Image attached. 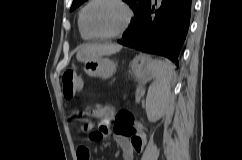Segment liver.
I'll return each instance as SVG.
<instances>
[{
  "instance_id": "liver-1",
  "label": "liver",
  "mask_w": 242,
  "mask_h": 160,
  "mask_svg": "<svg viewBox=\"0 0 242 160\" xmlns=\"http://www.w3.org/2000/svg\"><path fill=\"white\" fill-rule=\"evenodd\" d=\"M121 49L122 46L118 44H88L81 47L76 57L78 61L84 62L101 56L118 53Z\"/></svg>"
}]
</instances>
